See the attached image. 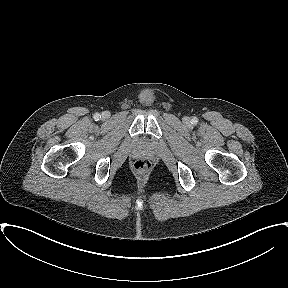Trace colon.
<instances>
[{
    "instance_id": "obj_1",
    "label": "colon",
    "mask_w": 288,
    "mask_h": 288,
    "mask_svg": "<svg viewBox=\"0 0 288 288\" xmlns=\"http://www.w3.org/2000/svg\"><path fill=\"white\" fill-rule=\"evenodd\" d=\"M133 167L136 171L143 173L150 169L151 164L147 160L140 159V160L135 161Z\"/></svg>"
}]
</instances>
